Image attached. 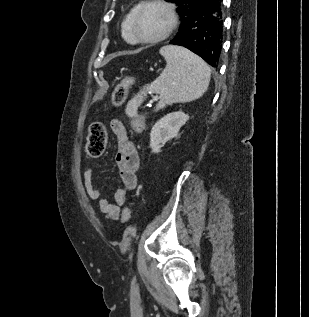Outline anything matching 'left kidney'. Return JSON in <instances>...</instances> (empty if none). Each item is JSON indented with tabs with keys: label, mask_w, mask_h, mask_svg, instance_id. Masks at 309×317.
Segmentation results:
<instances>
[{
	"label": "left kidney",
	"mask_w": 309,
	"mask_h": 317,
	"mask_svg": "<svg viewBox=\"0 0 309 317\" xmlns=\"http://www.w3.org/2000/svg\"><path fill=\"white\" fill-rule=\"evenodd\" d=\"M189 116L182 111L169 113L158 120L151 129L150 147L153 153H159L168 141L178 136L180 128L187 122Z\"/></svg>",
	"instance_id": "5707ae66"
}]
</instances>
